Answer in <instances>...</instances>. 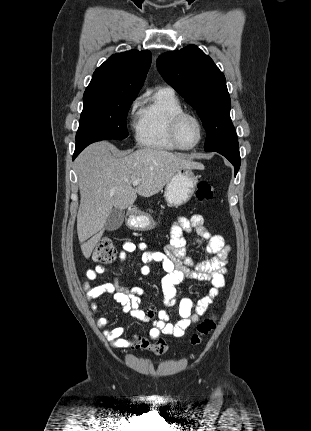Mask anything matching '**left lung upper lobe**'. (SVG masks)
<instances>
[{"label": "left lung upper lobe", "mask_w": 311, "mask_h": 431, "mask_svg": "<svg viewBox=\"0 0 311 431\" xmlns=\"http://www.w3.org/2000/svg\"><path fill=\"white\" fill-rule=\"evenodd\" d=\"M157 66L165 81L201 118L207 133L205 151L238 149L226 79L213 60L195 45H189L160 55Z\"/></svg>", "instance_id": "1"}]
</instances>
